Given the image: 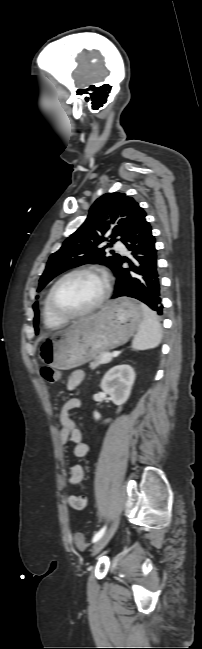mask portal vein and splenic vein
Wrapping results in <instances>:
<instances>
[{
    "instance_id": "18ae733b",
    "label": "portal vein and splenic vein",
    "mask_w": 202,
    "mask_h": 649,
    "mask_svg": "<svg viewBox=\"0 0 202 649\" xmlns=\"http://www.w3.org/2000/svg\"><path fill=\"white\" fill-rule=\"evenodd\" d=\"M101 357H102V362H103V363H108V362H110L111 359H112V355H111L110 353H103V354L101 355Z\"/></svg>"
}]
</instances>
